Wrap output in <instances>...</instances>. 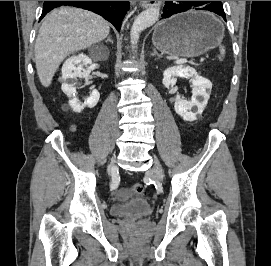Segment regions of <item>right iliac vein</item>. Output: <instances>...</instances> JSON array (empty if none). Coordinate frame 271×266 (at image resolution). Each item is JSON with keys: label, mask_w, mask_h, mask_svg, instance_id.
Segmentation results:
<instances>
[{"label": "right iliac vein", "mask_w": 271, "mask_h": 266, "mask_svg": "<svg viewBox=\"0 0 271 266\" xmlns=\"http://www.w3.org/2000/svg\"><path fill=\"white\" fill-rule=\"evenodd\" d=\"M109 169H110V170H115V169H116V165H115V162H114V161L111 162V164H110V166H109Z\"/></svg>", "instance_id": "1"}]
</instances>
